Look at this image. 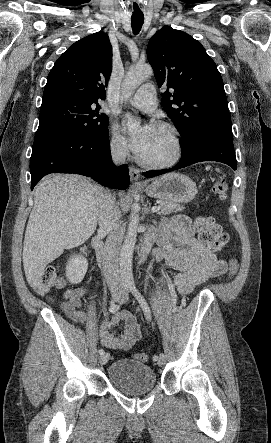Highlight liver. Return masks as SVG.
<instances>
[{"label":"liver","mask_w":271,"mask_h":443,"mask_svg":"<svg viewBox=\"0 0 271 443\" xmlns=\"http://www.w3.org/2000/svg\"><path fill=\"white\" fill-rule=\"evenodd\" d=\"M102 192L101 186L77 174L46 176L34 188L23 245L24 271L31 287H36L47 263L94 233Z\"/></svg>","instance_id":"6515ba94"}]
</instances>
